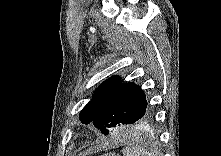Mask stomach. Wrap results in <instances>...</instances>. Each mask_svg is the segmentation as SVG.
<instances>
[{"mask_svg":"<svg viewBox=\"0 0 221 156\" xmlns=\"http://www.w3.org/2000/svg\"><path fill=\"white\" fill-rule=\"evenodd\" d=\"M102 156H116V155L114 153H106V154H104Z\"/></svg>","mask_w":221,"mask_h":156,"instance_id":"0dacf381","label":"stomach"}]
</instances>
